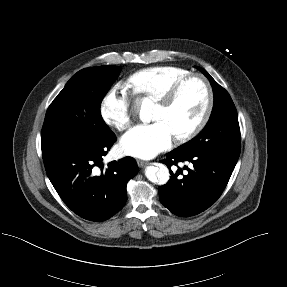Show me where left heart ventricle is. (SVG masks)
Here are the masks:
<instances>
[{"label": "left heart ventricle", "mask_w": 287, "mask_h": 287, "mask_svg": "<svg viewBox=\"0 0 287 287\" xmlns=\"http://www.w3.org/2000/svg\"><path fill=\"white\" fill-rule=\"evenodd\" d=\"M207 103L204 85L198 79L189 81L181 90L176 102L169 109L156 105L152 120L162 121L172 135L178 136L192 129L202 117Z\"/></svg>", "instance_id": "left-heart-ventricle-1"}]
</instances>
